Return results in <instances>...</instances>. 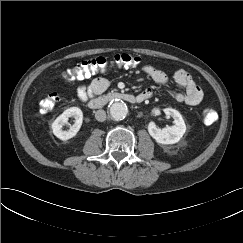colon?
I'll return each mask as SVG.
<instances>
[{"mask_svg": "<svg viewBox=\"0 0 243 243\" xmlns=\"http://www.w3.org/2000/svg\"><path fill=\"white\" fill-rule=\"evenodd\" d=\"M141 63V58L137 55L129 53H118L112 57H96L90 60L83 61L76 65L73 69L67 70L63 77L67 81L75 78L84 79L91 75L104 71L109 66H137ZM59 97L56 93L51 92L41 100L39 111L46 113L50 111L58 102ZM217 113L211 107H206L202 112V120L206 125H211L217 120Z\"/></svg>", "mask_w": 243, "mask_h": 243, "instance_id": "obj_1", "label": "colon"}]
</instances>
